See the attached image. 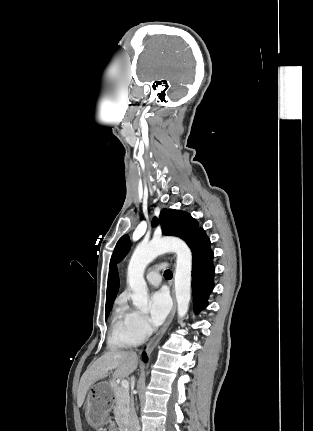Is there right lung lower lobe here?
<instances>
[{
	"label": "right lung lower lobe",
	"instance_id": "98d812e1",
	"mask_svg": "<svg viewBox=\"0 0 313 431\" xmlns=\"http://www.w3.org/2000/svg\"><path fill=\"white\" fill-rule=\"evenodd\" d=\"M142 357H143V361H144V362H147V360H148L147 354H146V353H144V354L142 355Z\"/></svg>",
	"mask_w": 313,
	"mask_h": 431
}]
</instances>
